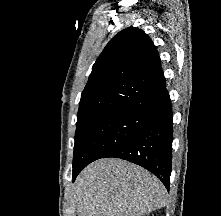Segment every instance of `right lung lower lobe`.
<instances>
[{"label":"right lung lower lobe","instance_id":"98d812e1","mask_svg":"<svg viewBox=\"0 0 221 216\" xmlns=\"http://www.w3.org/2000/svg\"><path fill=\"white\" fill-rule=\"evenodd\" d=\"M172 110L167 93L146 114L141 128L105 157H115L140 165L156 175L169 191L173 141ZM86 165L73 167V181Z\"/></svg>","mask_w":221,"mask_h":216}]
</instances>
